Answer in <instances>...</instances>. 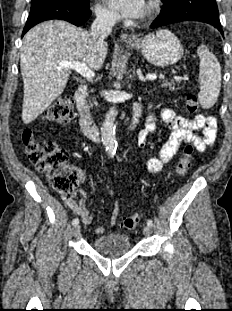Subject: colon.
Here are the masks:
<instances>
[{"instance_id":"colon-1","label":"colon","mask_w":232,"mask_h":311,"mask_svg":"<svg viewBox=\"0 0 232 311\" xmlns=\"http://www.w3.org/2000/svg\"><path fill=\"white\" fill-rule=\"evenodd\" d=\"M185 107L189 114L197 113L199 100L195 94H188L185 98ZM45 117L48 121L59 124H67L73 119V100L69 95L58 97L47 109ZM23 140L31 162L50 181L51 186L58 193L72 197L75 194L77 184V173L67 164L68 153L64 148L59 147L55 142H37L31 129H25ZM195 145L189 142L179 158L175 173L177 176H184L190 169ZM140 222L138 215L124 218L123 226L126 229H135Z\"/></svg>"}]
</instances>
